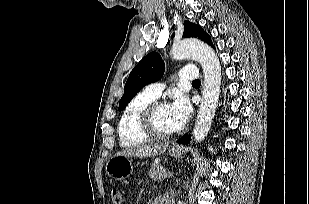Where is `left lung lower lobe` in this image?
<instances>
[{
  "instance_id": "0a47b994",
  "label": "left lung lower lobe",
  "mask_w": 309,
  "mask_h": 204,
  "mask_svg": "<svg viewBox=\"0 0 309 204\" xmlns=\"http://www.w3.org/2000/svg\"><path fill=\"white\" fill-rule=\"evenodd\" d=\"M190 134H185L181 138L178 139V143L180 144H188L190 143Z\"/></svg>"
}]
</instances>
